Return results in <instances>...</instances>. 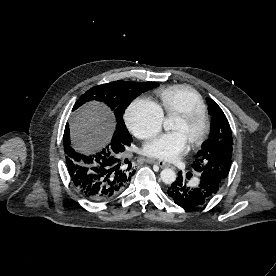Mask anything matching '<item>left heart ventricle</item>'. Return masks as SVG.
I'll list each match as a JSON object with an SVG mask.
<instances>
[{
	"label": "left heart ventricle",
	"instance_id": "left-heart-ventricle-1",
	"mask_svg": "<svg viewBox=\"0 0 276 276\" xmlns=\"http://www.w3.org/2000/svg\"><path fill=\"white\" fill-rule=\"evenodd\" d=\"M200 129H201L200 122H194V123L188 124L183 120L177 118L172 128V131L183 134L187 142L191 144L199 134Z\"/></svg>",
	"mask_w": 276,
	"mask_h": 276
}]
</instances>
